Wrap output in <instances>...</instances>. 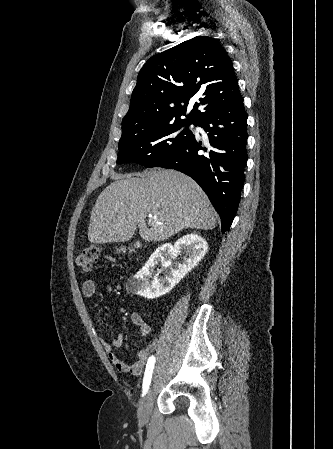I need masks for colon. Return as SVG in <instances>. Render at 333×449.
Returning a JSON list of instances; mask_svg holds the SVG:
<instances>
[{
	"mask_svg": "<svg viewBox=\"0 0 333 449\" xmlns=\"http://www.w3.org/2000/svg\"><path fill=\"white\" fill-rule=\"evenodd\" d=\"M100 257V249L97 246H88L77 257V264L84 270H90Z\"/></svg>",
	"mask_w": 333,
	"mask_h": 449,
	"instance_id": "5ec220e1",
	"label": "colon"
}]
</instances>
